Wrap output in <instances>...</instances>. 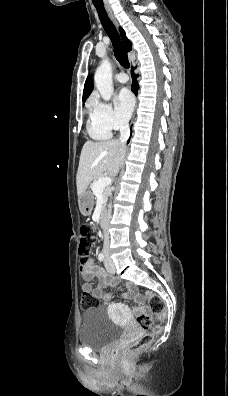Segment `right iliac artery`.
<instances>
[{
    "label": "right iliac artery",
    "instance_id": "right-iliac-artery-1",
    "mask_svg": "<svg viewBox=\"0 0 228 396\" xmlns=\"http://www.w3.org/2000/svg\"><path fill=\"white\" fill-rule=\"evenodd\" d=\"M98 259H99V261H104V254L103 253H100L99 255H98Z\"/></svg>",
    "mask_w": 228,
    "mask_h": 396
}]
</instances>
